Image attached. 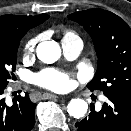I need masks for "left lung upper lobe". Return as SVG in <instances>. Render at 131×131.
<instances>
[{"label": "left lung upper lobe", "instance_id": "1", "mask_svg": "<svg viewBox=\"0 0 131 131\" xmlns=\"http://www.w3.org/2000/svg\"><path fill=\"white\" fill-rule=\"evenodd\" d=\"M69 19L90 34L98 57L95 77L87 87L104 95L131 99V28L112 12L89 9Z\"/></svg>", "mask_w": 131, "mask_h": 131}]
</instances>
